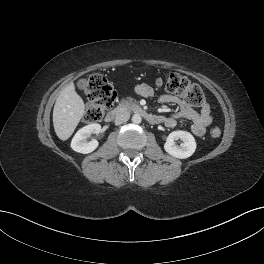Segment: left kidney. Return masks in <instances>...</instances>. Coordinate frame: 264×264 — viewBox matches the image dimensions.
<instances>
[{
  "label": "left kidney",
  "instance_id": "left-kidney-1",
  "mask_svg": "<svg viewBox=\"0 0 264 264\" xmlns=\"http://www.w3.org/2000/svg\"><path fill=\"white\" fill-rule=\"evenodd\" d=\"M181 139L182 144L176 145L175 140ZM165 151L173 157L185 159L195 152L196 150V141L194 137L186 131H173L167 137V140L164 144Z\"/></svg>",
  "mask_w": 264,
  "mask_h": 264
}]
</instances>
